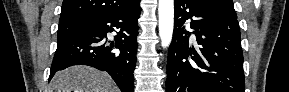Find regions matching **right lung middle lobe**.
<instances>
[{
	"label": "right lung middle lobe",
	"instance_id": "obj_1",
	"mask_svg": "<svg viewBox=\"0 0 289 92\" xmlns=\"http://www.w3.org/2000/svg\"><path fill=\"white\" fill-rule=\"evenodd\" d=\"M83 24H67V25H59L58 28V40L62 39L65 36H68L76 31H78Z\"/></svg>",
	"mask_w": 289,
	"mask_h": 92
}]
</instances>
